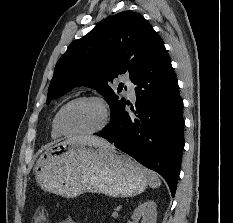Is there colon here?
<instances>
[{
	"label": "colon",
	"mask_w": 233,
	"mask_h": 223,
	"mask_svg": "<svg viewBox=\"0 0 233 223\" xmlns=\"http://www.w3.org/2000/svg\"><path fill=\"white\" fill-rule=\"evenodd\" d=\"M45 218H46V215H45L44 209L41 208L39 209V212L36 214L35 223H45Z\"/></svg>",
	"instance_id": "5ec220e1"
}]
</instances>
